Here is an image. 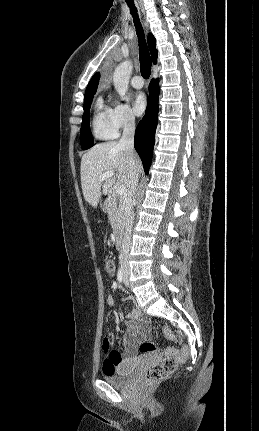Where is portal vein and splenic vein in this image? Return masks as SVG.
<instances>
[{
  "instance_id": "18ae733b",
  "label": "portal vein and splenic vein",
  "mask_w": 259,
  "mask_h": 431,
  "mask_svg": "<svg viewBox=\"0 0 259 431\" xmlns=\"http://www.w3.org/2000/svg\"><path fill=\"white\" fill-rule=\"evenodd\" d=\"M112 176H114V172H113V171H107V172L103 173V174L99 177V179H100V181H104V180H106L107 178H110V177H112ZM126 193H127V188H126V186H125V185H119V186L116 188V194H117V195H119V196H123V195H126Z\"/></svg>"
}]
</instances>
